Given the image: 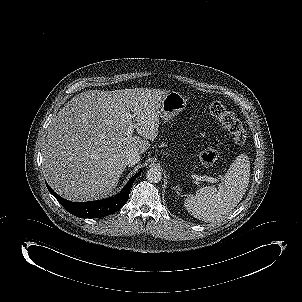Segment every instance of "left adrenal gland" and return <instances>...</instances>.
<instances>
[{"label": "left adrenal gland", "mask_w": 302, "mask_h": 302, "mask_svg": "<svg viewBox=\"0 0 302 302\" xmlns=\"http://www.w3.org/2000/svg\"><path fill=\"white\" fill-rule=\"evenodd\" d=\"M176 190H177V191H180L181 189H180V187H178Z\"/></svg>", "instance_id": "left-adrenal-gland-1"}]
</instances>
